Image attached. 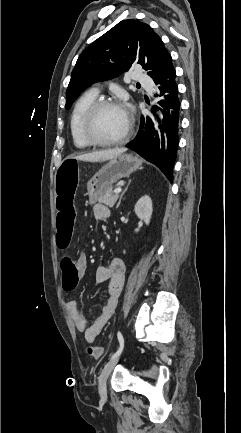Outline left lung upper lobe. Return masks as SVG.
Wrapping results in <instances>:
<instances>
[{
    "mask_svg": "<svg viewBox=\"0 0 241 433\" xmlns=\"http://www.w3.org/2000/svg\"><path fill=\"white\" fill-rule=\"evenodd\" d=\"M134 63L159 80L172 64L163 41L146 23L124 20L94 41L79 56L66 91V107L89 85L108 80Z\"/></svg>",
    "mask_w": 241,
    "mask_h": 433,
    "instance_id": "obj_1",
    "label": "left lung upper lobe"
}]
</instances>
